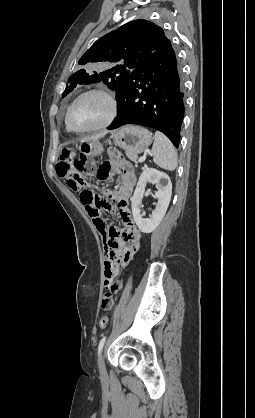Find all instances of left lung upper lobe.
I'll return each instance as SVG.
<instances>
[{"instance_id": "5c2ea615", "label": "left lung upper lobe", "mask_w": 255, "mask_h": 418, "mask_svg": "<svg viewBox=\"0 0 255 418\" xmlns=\"http://www.w3.org/2000/svg\"><path fill=\"white\" fill-rule=\"evenodd\" d=\"M168 42L163 29L152 22L140 19L124 24L98 39L81 57L79 64L90 68L81 69L68 79L69 86L62 97L78 84L99 81L120 91L129 74Z\"/></svg>"}]
</instances>
